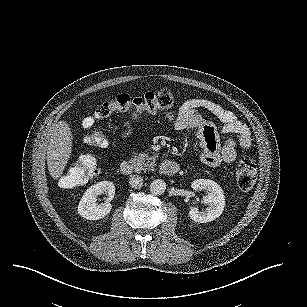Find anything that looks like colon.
I'll list each match as a JSON object with an SVG mask.
<instances>
[{
    "mask_svg": "<svg viewBox=\"0 0 307 307\" xmlns=\"http://www.w3.org/2000/svg\"><path fill=\"white\" fill-rule=\"evenodd\" d=\"M174 105V96L171 91L163 89L157 92H148L143 96L133 97L128 94H119L104 100L94 114L85 119V126L89 127L95 119L106 118L115 112L135 109L140 112H154L160 109H169ZM85 143L91 147H105L108 137L100 129L87 134ZM98 173L97 160L94 156L84 154L73 161L59 178V184L64 188H72L84 184ZM257 170L249 156H242L236 168L238 186L250 190L256 183Z\"/></svg>",
    "mask_w": 307,
    "mask_h": 307,
    "instance_id": "colon-1",
    "label": "colon"
}]
</instances>
